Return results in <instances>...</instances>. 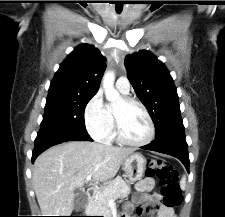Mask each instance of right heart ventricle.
Returning <instances> with one entry per match:
<instances>
[{
	"label": "right heart ventricle",
	"instance_id": "e07e8e85",
	"mask_svg": "<svg viewBox=\"0 0 225 217\" xmlns=\"http://www.w3.org/2000/svg\"><path fill=\"white\" fill-rule=\"evenodd\" d=\"M107 109H108V111H109V113H110V115H111V117L113 119V109H112V107L111 106H107ZM115 136H116L115 132L112 130L111 133L109 134L108 138L105 141H112V140L115 139Z\"/></svg>",
	"mask_w": 225,
	"mask_h": 217
}]
</instances>
